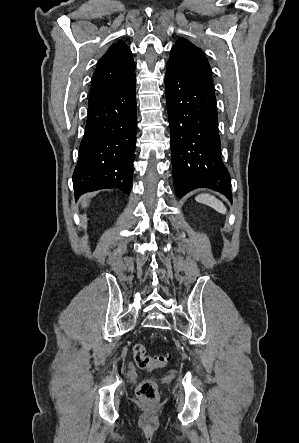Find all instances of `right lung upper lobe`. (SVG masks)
Listing matches in <instances>:
<instances>
[{
	"label": "right lung upper lobe",
	"instance_id": "1",
	"mask_svg": "<svg viewBox=\"0 0 299 443\" xmlns=\"http://www.w3.org/2000/svg\"><path fill=\"white\" fill-rule=\"evenodd\" d=\"M135 65L129 47L119 40L99 60L92 77L89 103L114 90L134 74Z\"/></svg>",
	"mask_w": 299,
	"mask_h": 443
}]
</instances>
